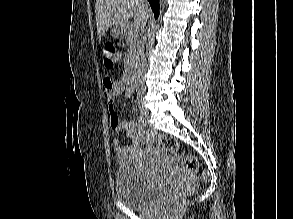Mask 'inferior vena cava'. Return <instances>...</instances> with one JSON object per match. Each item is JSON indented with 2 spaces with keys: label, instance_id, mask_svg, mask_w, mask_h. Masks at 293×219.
I'll return each mask as SVG.
<instances>
[{
  "label": "inferior vena cava",
  "instance_id": "602c4592",
  "mask_svg": "<svg viewBox=\"0 0 293 219\" xmlns=\"http://www.w3.org/2000/svg\"><path fill=\"white\" fill-rule=\"evenodd\" d=\"M146 65H147L146 64V56H145V53H144V47H142L141 60H140L139 67H138V70H137V77L138 78H141L142 75L144 74V72L146 71Z\"/></svg>",
  "mask_w": 293,
  "mask_h": 219
}]
</instances>
